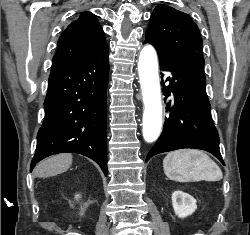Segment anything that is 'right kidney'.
Returning <instances> with one entry per match:
<instances>
[{
  "mask_svg": "<svg viewBox=\"0 0 250 235\" xmlns=\"http://www.w3.org/2000/svg\"><path fill=\"white\" fill-rule=\"evenodd\" d=\"M80 196L79 195H76V199L79 198Z\"/></svg>",
  "mask_w": 250,
  "mask_h": 235,
  "instance_id": "right-kidney-1",
  "label": "right kidney"
}]
</instances>
